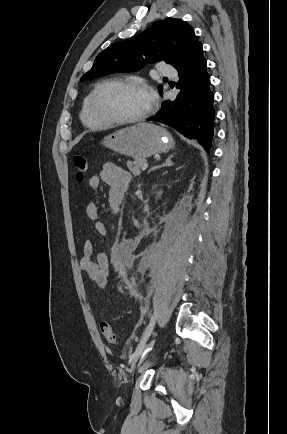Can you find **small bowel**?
I'll use <instances>...</instances> for the list:
<instances>
[{"mask_svg":"<svg viewBox=\"0 0 287 434\" xmlns=\"http://www.w3.org/2000/svg\"><path fill=\"white\" fill-rule=\"evenodd\" d=\"M131 180L130 173L114 163H105L102 169L92 175L88 180L91 190L97 191L101 184L108 187V201L114 213H117L123 202L124 196ZM87 220L92 222L97 234H108L107 224L99 219V207L96 203H88L84 211ZM80 270L98 288L106 287L110 277V264L107 255L103 251L96 252L91 240L83 244L82 257L79 262Z\"/></svg>","mask_w":287,"mask_h":434,"instance_id":"c3829d8e","label":"small bowel"}]
</instances>
